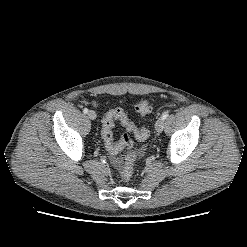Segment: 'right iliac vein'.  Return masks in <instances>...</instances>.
Returning <instances> with one entry per match:
<instances>
[{
	"label": "right iliac vein",
	"mask_w": 247,
	"mask_h": 247,
	"mask_svg": "<svg viewBox=\"0 0 247 247\" xmlns=\"http://www.w3.org/2000/svg\"><path fill=\"white\" fill-rule=\"evenodd\" d=\"M88 118L91 120H95L96 119V113L93 110H90L88 113Z\"/></svg>",
	"instance_id": "right-iliac-vein-1"
}]
</instances>
